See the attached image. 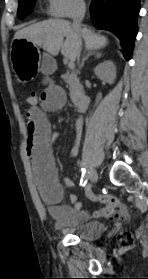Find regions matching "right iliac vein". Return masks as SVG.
<instances>
[{"instance_id":"right-iliac-vein-1","label":"right iliac vein","mask_w":148,"mask_h":279,"mask_svg":"<svg viewBox=\"0 0 148 279\" xmlns=\"http://www.w3.org/2000/svg\"><path fill=\"white\" fill-rule=\"evenodd\" d=\"M90 182L91 184H95L97 182L98 176H97V172L94 168L90 169ZM88 191V188L86 189V192Z\"/></svg>"}]
</instances>
